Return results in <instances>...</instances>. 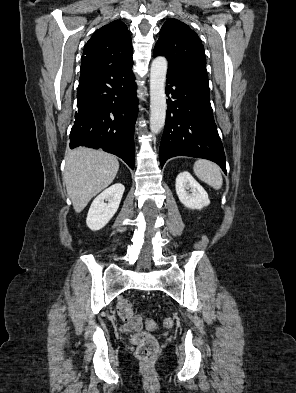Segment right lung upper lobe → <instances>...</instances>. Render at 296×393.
<instances>
[{
  "label": "right lung upper lobe",
  "instance_id": "right-lung-upper-lobe-1",
  "mask_svg": "<svg viewBox=\"0 0 296 393\" xmlns=\"http://www.w3.org/2000/svg\"><path fill=\"white\" fill-rule=\"evenodd\" d=\"M131 37L127 26L113 21L93 34L85 44L82 64L115 65L133 61Z\"/></svg>",
  "mask_w": 296,
  "mask_h": 393
}]
</instances>
